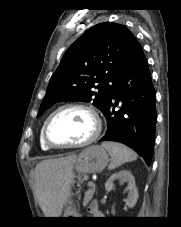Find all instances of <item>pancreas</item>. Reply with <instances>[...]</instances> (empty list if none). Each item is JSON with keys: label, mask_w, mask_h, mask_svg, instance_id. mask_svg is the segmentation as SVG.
Segmentation results:
<instances>
[{"label": "pancreas", "mask_w": 181, "mask_h": 227, "mask_svg": "<svg viewBox=\"0 0 181 227\" xmlns=\"http://www.w3.org/2000/svg\"><path fill=\"white\" fill-rule=\"evenodd\" d=\"M94 193H95V187H91L85 192V196L83 200L84 206H87V204L92 200Z\"/></svg>", "instance_id": "obj_1"}]
</instances>
